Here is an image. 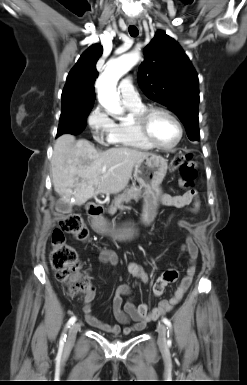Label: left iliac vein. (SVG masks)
I'll use <instances>...</instances> for the list:
<instances>
[{"label": "left iliac vein", "mask_w": 247, "mask_h": 385, "mask_svg": "<svg viewBox=\"0 0 247 385\" xmlns=\"http://www.w3.org/2000/svg\"><path fill=\"white\" fill-rule=\"evenodd\" d=\"M157 332H158V345L160 347H165L167 344V328L166 326L159 322L157 324Z\"/></svg>", "instance_id": "left-iliac-vein-1"}]
</instances>
